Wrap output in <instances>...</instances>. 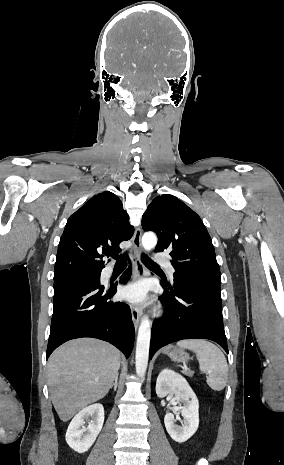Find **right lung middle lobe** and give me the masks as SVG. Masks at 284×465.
Here are the masks:
<instances>
[{
	"mask_svg": "<svg viewBox=\"0 0 284 465\" xmlns=\"http://www.w3.org/2000/svg\"><path fill=\"white\" fill-rule=\"evenodd\" d=\"M100 274H93V275H83L73 278H66L61 280L54 281V293L77 284L89 283V282H99Z\"/></svg>",
	"mask_w": 284,
	"mask_h": 465,
	"instance_id": "right-lung-middle-lobe-1",
	"label": "right lung middle lobe"
}]
</instances>
